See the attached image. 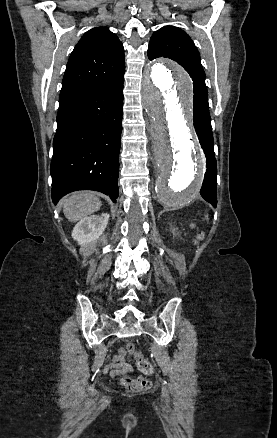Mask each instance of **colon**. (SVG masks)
<instances>
[{
    "instance_id": "5ec220e1",
    "label": "colon",
    "mask_w": 277,
    "mask_h": 438,
    "mask_svg": "<svg viewBox=\"0 0 277 438\" xmlns=\"http://www.w3.org/2000/svg\"><path fill=\"white\" fill-rule=\"evenodd\" d=\"M201 236V233H197L194 236V240L199 241ZM127 349L129 354L135 359L136 364L141 372L145 374L153 373V364L147 358H145L140 351H137L132 343L127 344ZM119 381L128 392H139L145 389L157 388L156 380H146L143 377L122 376Z\"/></svg>"
}]
</instances>
